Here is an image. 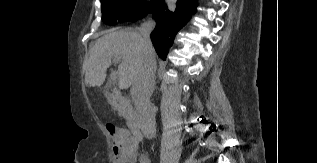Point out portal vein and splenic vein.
<instances>
[{
    "label": "portal vein and splenic vein",
    "mask_w": 317,
    "mask_h": 163,
    "mask_svg": "<svg viewBox=\"0 0 317 163\" xmlns=\"http://www.w3.org/2000/svg\"><path fill=\"white\" fill-rule=\"evenodd\" d=\"M113 61H114L115 63H118V62L120 61V59H119V58H114ZM110 78H111V80H112L113 82H115V81L117 80V78H118V71H113V72L111 73V75H110Z\"/></svg>",
    "instance_id": "portal-vein-and-splenic-vein-1"
}]
</instances>
